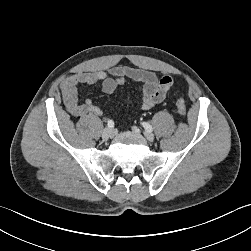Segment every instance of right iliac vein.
<instances>
[{
    "instance_id": "1",
    "label": "right iliac vein",
    "mask_w": 251,
    "mask_h": 251,
    "mask_svg": "<svg viewBox=\"0 0 251 251\" xmlns=\"http://www.w3.org/2000/svg\"><path fill=\"white\" fill-rule=\"evenodd\" d=\"M112 135H113V130L110 128H105L102 132V139L104 141H107L112 137Z\"/></svg>"
}]
</instances>
